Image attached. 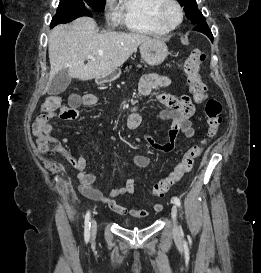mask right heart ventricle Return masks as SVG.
<instances>
[{
  "label": "right heart ventricle",
  "mask_w": 261,
  "mask_h": 273,
  "mask_svg": "<svg viewBox=\"0 0 261 273\" xmlns=\"http://www.w3.org/2000/svg\"><path fill=\"white\" fill-rule=\"evenodd\" d=\"M160 0H116L114 19L125 25L126 29L146 35H165L155 18V10Z\"/></svg>",
  "instance_id": "e07e8e85"
}]
</instances>
